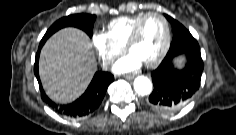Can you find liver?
<instances>
[{
  "label": "liver",
  "instance_id": "6515ba94",
  "mask_svg": "<svg viewBox=\"0 0 236 135\" xmlns=\"http://www.w3.org/2000/svg\"><path fill=\"white\" fill-rule=\"evenodd\" d=\"M97 69L89 37L77 28H64L52 35L41 50L39 75L46 94L68 103L79 97Z\"/></svg>",
  "mask_w": 236,
  "mask_h": 135
}]
</instances>
